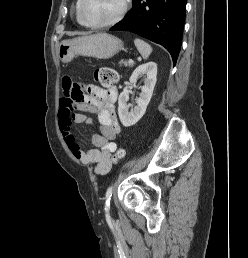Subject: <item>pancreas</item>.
<instances>
[{
	"mask_svg": "<svg viewBox=\"0 0 248 258\" xmlns=\"http://www.w3.org/2000/svg\"><path fill=\"white\" fill-rule=\"evenodd\" d=\"M119 64H120V66L121 65H124V66H126V67H132L133 65H134V62H129V61H127V60H121L120 62H119Z\"/></svg>",
	"mask_w": 248,
	"mask_h": 258,
	"instance_id": "1",
	"label": "pancreas"
}]
</instances>
